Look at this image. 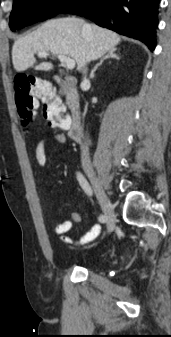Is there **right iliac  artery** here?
<instances>
[{"instance_id": "obj_1", "label": "right iliac artery", "mask_w": 171, "mask_h": 337, "mask_svg": "<svg viewBox=\"0 0 171 337\" xmlns=\"http://www.w3.org/2000/svg\"><path fill=\"white\" fill-rule=\"evenodd\" d=\"M77 179L79 181L80 186L82 187V189L85 191V193L89 196L92 195V189L88 183V181L85 179V177L80 173L77 172ZM107 220L105 215H100L99 216V221L104 223Z\"/></svg>"}]
</instances>
